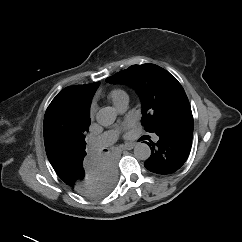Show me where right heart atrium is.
<instances>
[{"label":"right heart atrium","instance_id":"obj_1","mask_svg":"<svg viewBox=\"0 0 242 242\" xmlns=\"http://www.w3.org/2000/svg\"><path fill=\"white\" fill-rule=\"evenodd\" d=\"M90 115H91V116L94 115V107H91V109H90Z\"/></svg>","mask_w":242,"mask_h":242}]
</instances>
